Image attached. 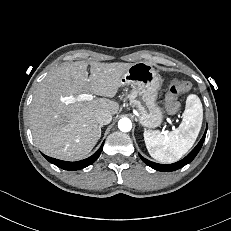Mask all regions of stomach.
<instances>
[{
    "label": "stomach",
    "mask_w": 231,
    "mask_h": 231,
    "mask_svg": "<svg viewBox=\"0 0 231 231\" xmlns=\"http://www.w3.org/2000/svg\"><path fill=\"white\" fill-rule=\"evenodd\" d=\"M121 86L129 85L131 103L137 108L139 122L147 128H156L163 121V111L157 103L160 80L153 66L147 62L132 64L121 76Z\"/></svg>",
    "instance_id": "obj_1"
}]
</instances>
